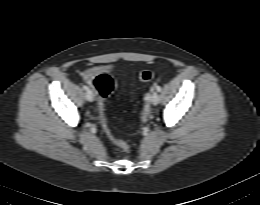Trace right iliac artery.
Segmentation results:
<instances>
[{
	"label": "right iliac artery",
	"mask_w": 260,
	"mask_h": 205,
	"mask_svg": "<svg viewBox=\"0 0 260 205\" xmlns=\"http://www.w3.org/2000/svg\"><path fill=\"white\" fill-rule=\"evenodd\" d=\"M83 89L86 90V91H89V88H88V86H86V85L83 86Z\"/></svg>",
	"instance_id": "right-iliac-artery-1"
}]
</instances>
